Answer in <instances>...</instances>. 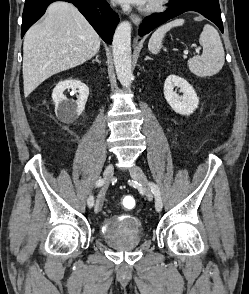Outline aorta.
<instances>
[{
	"label": "aorta",
	"mask_w": 249,
	"mask_h": 294,
	"mask_svg": "<svg viewBox=\"0 0 249 294\" xmlns=\"http://www.w3.org/2000/svg\"><path fill=\"white\" fill-rule=\"evenodd\" d=\"M131 24L128 21L121 22L114 33L112 41V54L116 75L121 85L129 87L132 82V58H131Z\"/></svg>",
	"instance_id": "aorta-1"
}]
</instances>
